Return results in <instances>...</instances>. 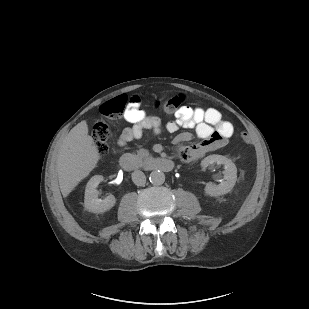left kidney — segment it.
<instances>
[{
  "label": "left kidney",
  "mask_w": 309,
  "mask_h": 309,
  "mask_svg": "<svg viewBox=\"0 0 309 309\" xmlns=\"http://www.w3.org/2000/svg\"><path fill=\"white\" fill-rule=\"evenodd\" d=\"M214 163L222 164L225 167L223 171L225 181L219 185H215L211 182L207 183L205 186V193L209 196L217 197L230 192L237 180V168L235 164L228 158L222 155H209L204 158L201 162L203 168L208 167Z\"/></svg>",
  "instance_id": "1"
}]
</instances>
